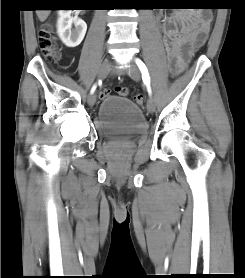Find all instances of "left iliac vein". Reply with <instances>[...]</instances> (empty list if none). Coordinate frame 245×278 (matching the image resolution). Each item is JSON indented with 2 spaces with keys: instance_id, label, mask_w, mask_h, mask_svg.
Here are the masks:
<instances>
[{
  "instance_id": "obj_1",
  "label": "left iliac vein",
  "mask_w": 245,
  "mask_h": 278,
  "mask_svg": "<svg viewBox=\"0 0 245 278\" xmlns=\"http://www.w3.org/2000/svg\"><path fill=\"white\" fill-rule=\"evenodd\" d=\"M127 72L130 75V77L132 79H134L135 81H139L140 80L141 73H140L139 69L136 66L130 65L127 68ZM147 109L150 112H154L155 111V101H154V99L152 97H150L148 102H147Z\"/></svg>"
}]
</instances>
